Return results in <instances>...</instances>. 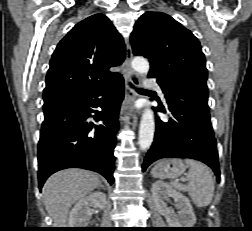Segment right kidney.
Instances as JSON below:
<instances>
[{"mask_svg":"<svg viewBox=\"0 0 252 231\" xmlns=\"http://www.w3.org/2000/svg\"><path fill=\"white\" fill-rule=\"evenodd\" d=\"M89 203L99 210H103L107 204L106 195L102 192H94L85 198H81L72 208L68 224L71 228H85L91 217Z\"/></svg>","mask_w":252,"mask_h":231,"instance_id":"obj_1","label":"right kidney"}]
</instances>
